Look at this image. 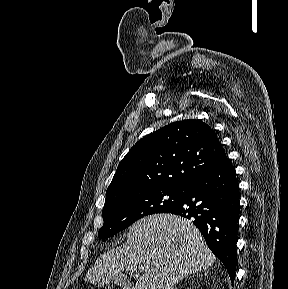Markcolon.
<instances>
[{
  "label": "colon",
  "mask_w": 288,
  "mask_h": 289,
  "mask_svg": "<svg viewBox=\"0 0 288 289\" xmlns=\"http://www.w3.org/2000/svg\"><path fill=\"white\" fill-rule=\"evenodd\" d=\"M96 289H106V288H96Z\"/></svg>",
  "instance_id": "5ec220e1"
}]
</instances>
